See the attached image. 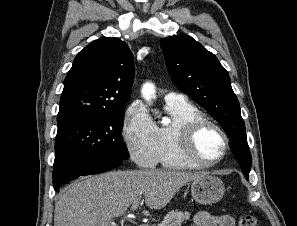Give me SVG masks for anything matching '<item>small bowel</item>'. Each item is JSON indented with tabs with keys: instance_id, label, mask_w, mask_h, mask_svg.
Returning <instances> with one entry per match:
<instances>
[{
	"instance_id": "1",
	"label": "small bowel",
	"mask_w": 297,
	"mask_h": 226,
	"mask_svg": "<svg viewBox=\"0 0 297 226\" xmlns=\"http://www.w3.org/2000/svg\"><path fill=\"white\" fill-rule=\"evenodd\" d=\"M191 226H235V220L230 215H213L200 211L194 215Z\"/></svg>"
}]
</instances>
